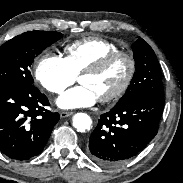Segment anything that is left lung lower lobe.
I'll list each match as a JSON object with an SVG mask.
<instances>
[{
    "mask_svg": "<svg viewBox=\"0 0 183 183\" xmlns=\"http://www.w3.org/2000/svg\"><path fill=\"white\" fill-rule=\"evenodd\" d=\"M163 106V96H139L115 105L98 120L89 139L90 156L103 166L136 156L157 134Z\"/></svg>",
    "mask_w": 183,
    "mask_h": 183,
    "instance_id": "left-lung-lower-lobe-1",
    "label": "left lung lower lobe"
}]
</instances>
